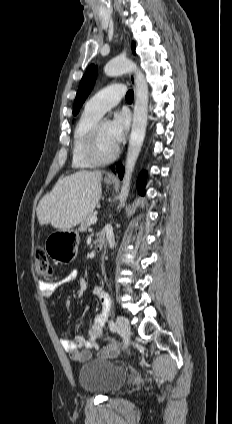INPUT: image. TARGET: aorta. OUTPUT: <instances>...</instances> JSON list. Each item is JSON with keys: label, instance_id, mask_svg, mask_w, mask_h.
<instances>
[{"label": "aorta", "instance_id": "762f6f07", "mask_svg": "<svg viewBox=\"0 0 232 424\" xmlns=\"http://www.w3.org/2000/svg\"><path fill=\"white\" fill-rule=\"evenodd\" d=\"M104 72L107 76L110 77L130 72L135 74L136 98L132 130L125 162V174L121 187V193L119 196L120 205L118 209H120L122 206H124L128 197L132 172L145 138L148 115V85L141 70L135 63L127 58L117 57L112 59L105 65Z\"/></svg>", "mask_w": 232, "mask_h": 424}]
</instances>
